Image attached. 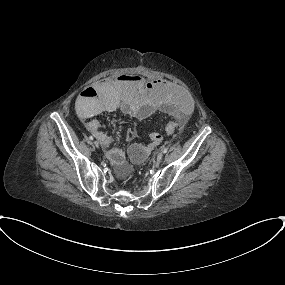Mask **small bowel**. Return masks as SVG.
I'll use <instances>...</instances> for the list:
<instances>
[{
  "label": "small bowel",
  "mask_w": 285,
  "mask_h": 285,
  "mask_svg": "<svg viewBox=\"0 0 285 285\" xmlns=\"http://www.w3.org/2000/svg\"><path fill=\"white\" fill-rule=\"evenodd\" d=\"M75 108L79 115L86 119L87 130L101 144L110 162L120 166L125 160L124 149L109 147L112 139L101 131L96 115L119 109L129 117L142 120L161 109L179 124H185L194 112L195 106L180 87L166 79L147 81L141 76L134 75L98 82L77 96ZM136 133V127H130L129 139L135 138Z\"/></svg>",
  "instance_id": "small-bowel-1"
}]
</instances>
